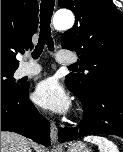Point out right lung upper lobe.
I'll use <instances>...</instances> for the list:
<instances>
[{"label":"right lung upper lobe","mask_w":123,"mask_h":152,"mask_svg":"<svg viewBox=\"0 0 123 152\" xmlns=\"http://www.w3.org/2000/svg\"><path fill=\"white\" fill-rule=\"evenodd\" d=\"M38 10L36 0H1V68L17 69L16 54L33 46Z\"/></svg>","instance_id":"1"}]
</instances>
